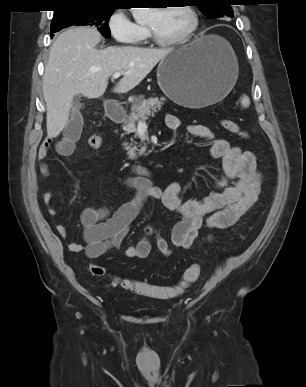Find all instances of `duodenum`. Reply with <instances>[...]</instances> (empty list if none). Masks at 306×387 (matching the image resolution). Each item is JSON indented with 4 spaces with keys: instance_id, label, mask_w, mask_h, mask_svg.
Wrapping results in <instances>:
<instances>
[{
    "instance_id": "1",
    "label": "duodenum",
    "mask_w": 306,
    "mask_h": 387,
    "mask_svg": "<svg viewBox=\"0 0 306 387\" xmlns=\"http://www.w3.org/2000/svg\"><path fill=\"white\" fill-rule=\"evenodd\" d=\"M106 113L110 120L113 122H121L124 119L125 111L118 105L114 103H109L106 106ZM140 173H147V169L144 167H137L136 168Z\"/></svg>"
}]
</instances>
